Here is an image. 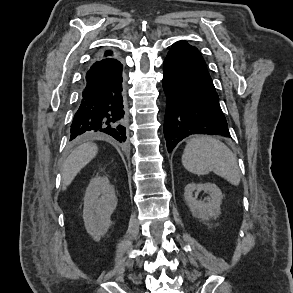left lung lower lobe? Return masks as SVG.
Returning <instances> with one entry per match:
<instances>
[{"mask_svg":"<svg viewBox=\"0 0 293 293\" xmlns=\"http://www.w3.org/2000/svg\"><path fill=\"white\" fill-rule=\"evenodd\" d=\"M162 84L167 97L164 136L168 152L192 134L230 137L213 82L185 41L174 43L166 56Z\"/></svg>","mask_w":293,"mask_h":293,"instance_id":"0a47b994","label":"left lung lower lobe"}]
</instances>
